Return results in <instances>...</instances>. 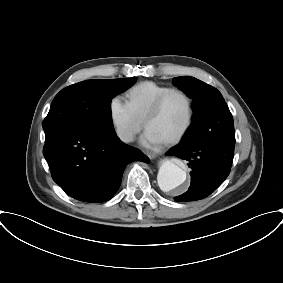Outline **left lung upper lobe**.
<instances>
[{
  "instance_id": "1",
  "label": "left lung upper lobe",
  "mask_w": 283,
  "mask_h": 283,
  "mask_svg": "<svg viewBox=\"0 0 283 283\" xmlns=\"http://www.w3.org/2000/svg\"><path fill=\"white\" fill-rule=\"evenodd\" d=\"M173 80L193 100V123L200 118L205 121V141L212 145L234 148L233 117L221 93L194 77L182 76ZM219 104L221 106L217 107Z\"/></svg>"
}]
</instances>
